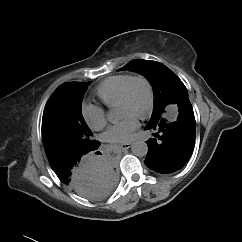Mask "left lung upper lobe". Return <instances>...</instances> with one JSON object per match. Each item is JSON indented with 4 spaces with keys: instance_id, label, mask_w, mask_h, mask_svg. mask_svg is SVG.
Segmentation results:
<instances>
[{
    "instance_id": "5c2ea615",
    "label": "left lung upper lobe",
    "mask_w": 242,
    "mask_h": 242,
    "mask_svg": "<svg viewBox=\"0 0 242 242\" xmlns=\"http://www.w3.org/2000/svg\"><path fill=\"white\" fill-rule=\"evenodd\" d=\"M132 70L143 74L153 85L154 109L151 120L161 115L170 103L188 98V92L182 81L162 63L135 59L119 70ZM150 120V121H151Z\"/></svg>"
}]
</instances>
